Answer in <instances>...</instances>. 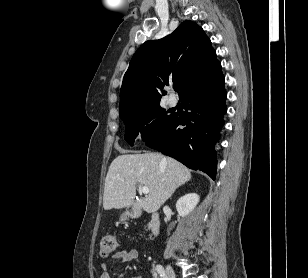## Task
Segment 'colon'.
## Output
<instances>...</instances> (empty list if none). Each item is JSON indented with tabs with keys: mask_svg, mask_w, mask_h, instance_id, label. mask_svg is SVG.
Listing matches in <instances>:
<instances>
[{
	"mask_svg": "<svg viewBox=\"0 0 308 278\" xmlns=\"http://www.w3.org/2000/svg\"><path fill=\"white\" fill-rule=\"evenodd\" d=\"M118 247V240L115 236L108 235L100 241V253L102 256H108Z\"/></svg>",
	"mask_w": 308,
	"mask_h": 278,
	"instance_id": "obj_1",
	"label": "colon"
}]
</instances>
